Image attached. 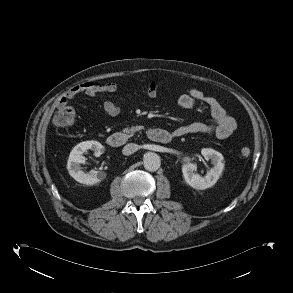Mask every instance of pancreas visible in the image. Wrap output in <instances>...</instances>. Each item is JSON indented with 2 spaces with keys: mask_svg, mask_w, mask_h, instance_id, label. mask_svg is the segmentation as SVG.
<instances>
[{
  "mask_svg": "<svg viewBox=\"0 0 293 293\" xmlns=\"http://www.w3.org/2000/svg\"><path fill=\"white\" fill-rule=\"evenodd\" d=\"M141 129H143V126H132L131 128L123 129V132L129 134V136H133L135 132Z\"/></svg>",
  "mask_w": 293,
  "mask_h": 293,
  "instance_id": "1",
  "label": "pancreas"
}]
</instances>
